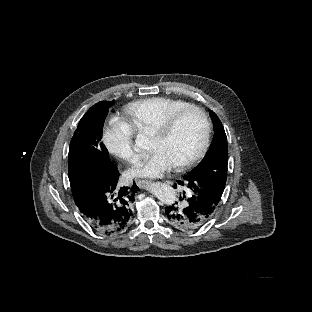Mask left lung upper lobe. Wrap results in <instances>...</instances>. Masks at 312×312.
I'll list each match as a JSON object with an SVG mask.
<instances>
[{"label":"left lung upper lobe","instance_id":"5c2ea615","mask_svg":"<svg viewBox=\"0 0 312 312\" xmlns=\"http://www.w3.org/2000/svg\"><path fill=\"white\" fill-rule=\"evenodd\" d=\"M210 117L214 125V139L203 160L192 171L185 175L184 178H193L203 172L212 170L227 171V137L218 116L213 111H210Z\"/></svg>","mask_w":312,"mask_h":312}]
</instances>
